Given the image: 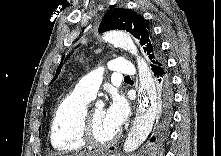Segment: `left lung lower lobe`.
<instances>
[{
  "label": "left lung lower lobe",
  "instance_id": "obj_1",
  "mask_svg": "<svg viewBox=\"0 0 221 156\" xmlns=\"http://www.w3.org/2000/svg\"><path fill=\"white\" fill-rule=\"evenodd\" d=\"M152 71L155 78V121L154 134L150 141L159 142L167 136L172 117V83L165 61L152 66Z\"/></svg>",
  "mask_w": 221,
  "mask_h": 156
}]
</instances>
